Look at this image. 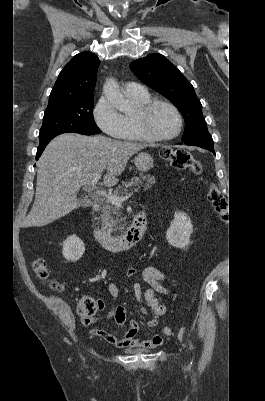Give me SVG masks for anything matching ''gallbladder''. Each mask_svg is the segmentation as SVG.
<instances>
[{
    "label": "gallbladder",
    "instance_id": "1",
    "mask_svg": "<svg viewBox=\"0 0 265 401\" xmlns=\"http://www.w3.org/2000/svg\"><path fill=\"white\" fill-rule=\"evenodd\" d=\"M79 203L81 207H89V205H91L90 198H80Z\"/></svg>",
    "mask_w": 265,
    "mask_h": 401
}]
</instances>
